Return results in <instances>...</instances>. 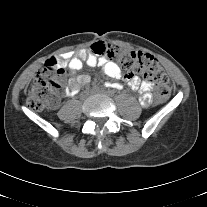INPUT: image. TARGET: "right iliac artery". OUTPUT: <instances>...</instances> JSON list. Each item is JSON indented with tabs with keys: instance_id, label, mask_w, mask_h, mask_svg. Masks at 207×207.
I'll return each mask as SVG.
<instances>
[{
	"instance_id": "obj_1",
	"label": "right iliac artery",
	"mask_w": 207,
	"mask_h": 207,
	"mask_svg": "<svg viewBox=\"0 0 207 207\" xmlns=\"http://www.w3.org/2000/svg\"><path fill=\"white\" fill-rule=\"evenodd\" d=\"M105 85H106V87H109V86H111L109 83H106Z\"/></svg>"
}]
</instances>
